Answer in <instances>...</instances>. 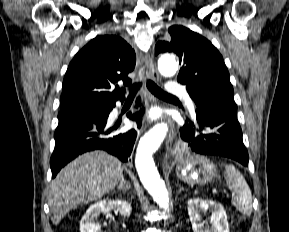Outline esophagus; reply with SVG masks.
<instances>
[{"mask_svg":"<svg viewBox=\"0 0 289 232\" xmlns=\"http://www.w3.org/2000/svg\"><path fill=\"white\" fill-rule=\"evenodd\" d=\"M144 63L147 67L148 75L150 78L154 81H159V73L154 65L153 59L150 55H146L144 58ZM169 126H170V132L166 140V145L168 146L169 144L172 143L174 134H173V124L171 121H169Z\"/></svg>","mask_w":289,"mask_h":232,"instance_id":"obj_1","label":"esophagus"}]
</instances>
